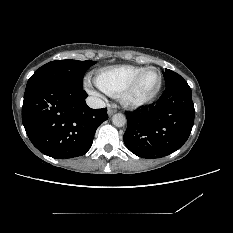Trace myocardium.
Here are the masks:
<instances>
[{"mask_svg": "<svg viewBox=\"0 0 233 233\" xmlns=\"http://www.w3.org/2000/svg\"><path fill=\"white\" fill-rule=\"evenodd\" d=\"M156 70L159 74V83L158 86L156 88V90L148 97L144 98V99H133L132 98V93L135 89V87L137 86L138 82L140 81L141 77L149 70ZM162 82H163V77H162V73L161 71L155 67V66H148L145 67L144 69H142L140 72H138L127 84L126 86L123 88V90L120 93V101L122 103V105H124L125 107L128 108H139L142 107L144 105L149 104L150 102H152L159 94L161 87H162Z\"/></svg>", "mask_w": 233, "mask_h": 233, "instance_id": "1", "label": "myocardium"}]
</instances>
